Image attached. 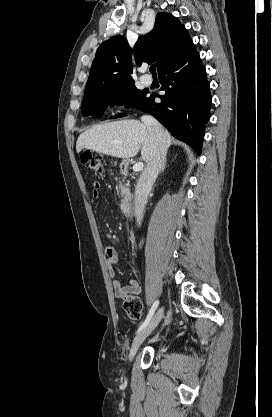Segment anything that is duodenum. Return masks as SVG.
I'll list each match as a JSON object with an SVG mask.
<instances>
[{
    "mask_svg": "<svg viewBox=\"0 0 272 417\" xmlns=\"http://www.w3.org/2000/svg\"><path fill=\"white\" fill-rule=\"evenodd\" d=\"M129 170V164L124 163L121 166V171L126 173ZM120 209L124 216L128 217L131 214L132 211V195L130 193H126L124 198L122 199L120 203Z\"/></svg>",
    "mask_w": 272,
    "mask_h": 417,
    "instance_id": "1",
    "label": "duodenum"
}]
</instances>
